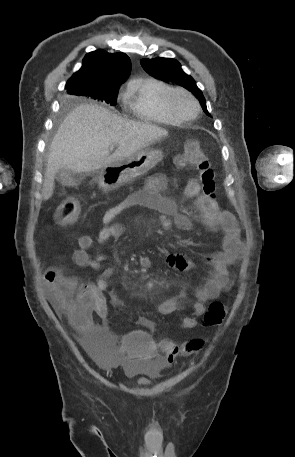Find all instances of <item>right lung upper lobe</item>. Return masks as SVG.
Segmentation results:
<instances>
[{"label":"right lung upper lobe","mask_w":295,"mask_h":457,"mask_svg":"<svg viewBox=\"0 0 295 457\" xmlns=\"http://www.w3.org/2000/svg\"><path fill=\"white\" fill-rule=\"evenodd\" d=\"M130 70L131 62L126 54L96 50L84 57L81 69L73 74L65 87L69 93L74 85L91 89L119 87Z\"/></svg>","instance_id":"right-lung-upper-lobe-1"}]
</instances>
